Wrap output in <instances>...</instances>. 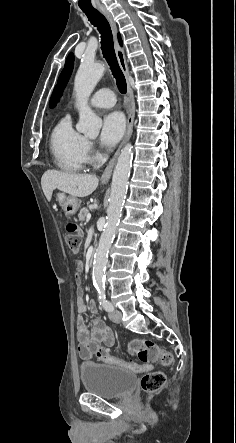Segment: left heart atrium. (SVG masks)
<instances>
[{
    "label": "left heart atrium",
    "instance_id": "left-heart-atrium-1",
    "mask_svg": "<svg viewBox=\"0 0 236 443\" xmlns=\"http://www.w3.org/2000/svg\"><path fill=\"white\" fill-rule=\"evenodd\" d=\"M125 130V119L122 113L113 111L102 119L100 143L103 146H113L122 137Z\"/></svg>",
    "mask_w": 236,
    "mask_h": 443
}]
</instances>
